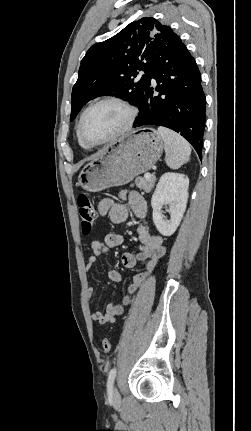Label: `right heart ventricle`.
I'll return each instance as SVG.
<instances>
[{
  "label": "right heart ventricle",
  "instance_id": "1",
  "mask_svg": "<svg viewBox=\"0 0 251 431\" xmlns=\"http://www.w3.org/2000/svg\"><path fill=\"white\" fill-rule=\"evenodd\" d=\"M77 138H78V142H79V144H80V146L83 148V149H88L89 147H87V146H85L81 141H80V139H79V137H78V132H77Z\"/></svg>",
  "mask_w": 251,
  "mask_h": 431
}]
</instances>
